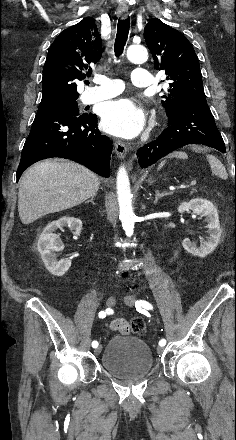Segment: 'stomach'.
<instances>
[{
	"mask_svg": "<svg viewBox=\"0 0 236 440\" xmlns=\"http://www.w3.org/2000/svg\"><path fill=\"white\" fill-rule=\"evenodd\" d=\"M178 156H183V154H178ZM148 182H149L150 184H152V183H154V179L149 178V179H148Z\"/></svg>",
	"mask_w": 236,
	"mask_h": 440,
	"instance_id": "0dacf381",
	"label": "stomach"
}]
</instances>
